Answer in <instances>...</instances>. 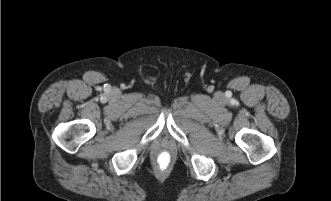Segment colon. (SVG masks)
I'll list each match as a JSON object with an SVG mask.
<instances>
[{
  "instance_id": "1",
  "label": "colon",
  "mask_w": 331,
  "mask_h": 201,
  "mask_svg": "<svg viewBox=\"0 0 331 201\" xmlns=\"http://www.w3.org/2000/svg\"><path fill=\"white\" fill-rule=\"evenodd\" d=\"M154 162L158 170L166 172L173 167L174 159L168 150L163 149L157 153Z\"/></svg>"
}]
</instances>
